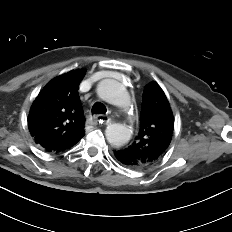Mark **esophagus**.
Here are the masks:
<instances>
[{
  "label": "esophagus",
  "instance_id": "esophagus-1",
  "mask_svg": "<svg viewBox=\"0 0 232 232\" xmlns=\"http://www.w3.org/2000/svg\"><path fill=\"white\" fill-rule=\"evenodd\" d=\"M92 123L94 125H97V124L108 125L111 123V119L105 115H97L93 117Z\"/></svg>",
  "mask_w": 232,
  "mask_h": 232
}]
</instances>
